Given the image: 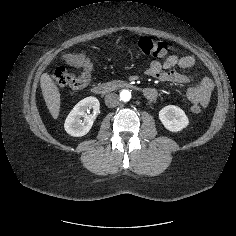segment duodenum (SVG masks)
I'll return each mask as SVG.
<instances>
[{"label": "duodenum", "instance_id": "410a0bca", "mask_svg": "<svg viewBox=\"0 0 236 236\" xmlns=\"http://www.w3.org/2000/svg\"><path fill=\"white\" fill-rule=\"evenodd\" d=\"M133 87V84L127 81L112 80L94 84L91 88V91L96 95H105L118 89H131ZM143 94L149 98L154 96L155 92L145 88L143 90Z\"/></svg>", "mask_w": 236, "mask_h": 236}]
</instances>
